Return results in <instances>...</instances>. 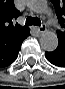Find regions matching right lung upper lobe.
Listing matches in <instances>:
<instances>
[{
	"mask_svg": "<svg viewBox=\"0 0 65 89\" xmlns=\"http://www.w3.org/2000/svg\"><path fill=\"white\" fill-rule=\"evenodd\" d=\"M19 15L13 0H0V42L16 39L29 32V28L13 24Z\"/></svg>",
	"mask_w": 65,
	"mask_h": 89,
	"instance_id": "cb5924a9",
	"label": "right lung upper lobe"
}]
</instances>
